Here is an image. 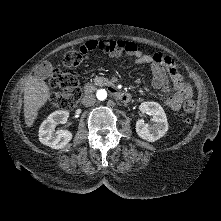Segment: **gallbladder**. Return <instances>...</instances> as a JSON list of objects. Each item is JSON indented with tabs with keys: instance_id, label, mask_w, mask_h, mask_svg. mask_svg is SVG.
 Returning <instances> with one entry per match:
<instances>
[{
	"instance_id": "1",
	"label": "gallbladder",
	"mask_w": 221,
	"mask_h": 221,
	"mask_svg": "<svg viewBox=\"0 0 221 221\" xmlns=\"http://www.w3.org/2000/svg\"><path fill=\"white\" fill-rule=\"evenodd\" d=\"M51 71L48 67L35 72V76L39 79H46L50 76Z\"/></svg>"
}]
</instances>
